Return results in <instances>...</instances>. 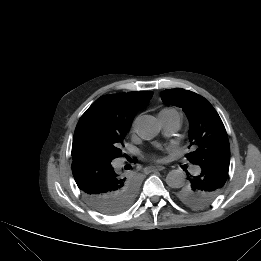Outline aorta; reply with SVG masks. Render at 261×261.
Here are the masks:
<instances>
[{"label": "aorta", "instance_id": "1", "mask_svg": "<svg viewBox=\"0 0 261 261\" xmlns=\"http://www.w3.org/2000/svg\"><path fill=\"white\" fill-rule=\"evenodd\" d=\"M161 125L158 120L151 115L142 116L136 123L138 135L146 140H150L158 135ZM185 175L181 170H172L166 176V183L171 188H180L184 185Z\"/></svg>", "mask_w": 261, "mask_h": 261}]
</instances>
